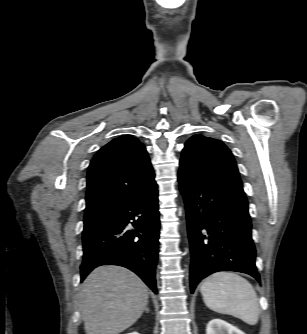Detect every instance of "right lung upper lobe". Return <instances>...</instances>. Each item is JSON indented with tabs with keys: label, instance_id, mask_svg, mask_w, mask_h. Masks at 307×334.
Segmentation results:
<instances>
[{
	"label": "right lung upper lobe",
	"instance_id": "obj_1",
	"mask_svg": "<svg viewBox=\"0 0 307 334\" xmlns=\"http://www.w3.org/2000/svg\"><path fill=\"white\" fill-rule=\"evenodd\" d=\"M145 146L131 136H121L101 148L87 173L85 217L105 215L154 181Z\"/></svg>",
	"mask_w": 307,
	"mask_h": 334
}]
</instances>
